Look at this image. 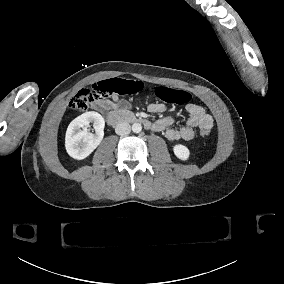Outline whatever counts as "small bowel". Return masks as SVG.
<instances>
[{
	"label": "small bowel",
	"instance_id": "obj_1",
	"mask_svg": "<svg viewBox=\"0 0 284 284\" xmlns=\"http://www.w3.org/2000/svg\"><path fill=\"white\" fill-rule=\"evenodd\" d=\"M105 109H129L130 103L126 99H120L118 95H113L103 105ZM165 105L162 103H152L148 106L151 113H162L165 111ZM187 119L180 128H172L176 120V115L166 116L154 122H149L148 129L163 132L167 139L176 140H192L196 135L198 128L211 129L214 124L212 116L200 105L189 103L186 105Z\"/></svg>",
	"mask_w": 284,
	"mask_h": 284
}]
</instances>
